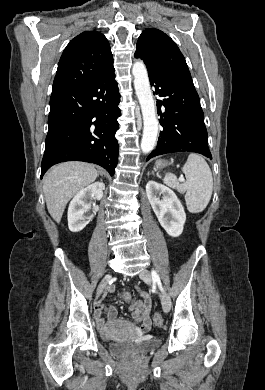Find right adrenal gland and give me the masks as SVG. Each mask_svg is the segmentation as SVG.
<instances>
[{"label": "right adrenal gland", "mask_w": 265, "mask_h": 390, "mask_svg": "<svg viewBox=\"0 0 265 390\" xmlns=\"http://www.w3.org/2000/svg\"><path fill=\"white\" fill-rule=\"evenodd\" d=\"M99 175H100V176H103V174H102L101 172H98V176H99Z\"/></svg>", "instance_id": "1"}]
</instances>
